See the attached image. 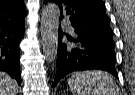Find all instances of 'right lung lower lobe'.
<instances>
[{
	"instance_id": "right-lung-lower-lobe-1",
	"label": "right lung lower lobe",
	"mask_w": 135,
	"mask_h": 95,
	"mask_svg": "<svg viewBox=\"0 0 135 95\" xmlns=\"http://www.w3.org/2000/svg\"><path fill=\"white\" fill-rule=\"evenodd\" d=\"M24 30V17L18 20H0V71L7 72L19 85V43Z\"/></svg>"
}]
</instances>
